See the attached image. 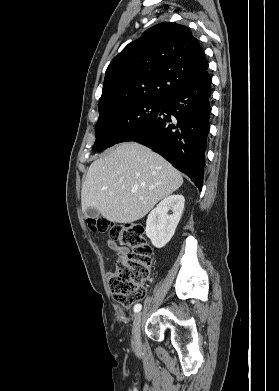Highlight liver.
<instances>
[{"instance_id": "obj_1", "label": "liver", "mask_w": 279, "mask_h": 391, "mask_svg": "<svg viewBox=\"0 0 279 391\" xmlns=\"http://www.w3.org/2000/svg\"><path fill=\"white\" fill-rule=\"evenodd\" d=\"M182 183L180 172L162 156L125 142L90 165L82 185V211L96 208L107 220L132 223Z\"/></svg>"}]
</instances>
